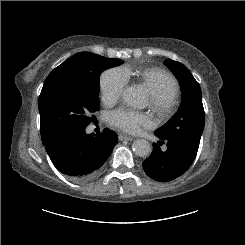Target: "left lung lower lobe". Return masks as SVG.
<instances>
[{
	"instance_id": "obj_1",
	"label": "left lung lower lobe",
	"mask_w": 245,
	"mask_h": 245,
	"mask_svg": "<svg viewBox=\"0 0 245 245\" xmlns=\"http://www.w3.org/2000/svg\"><path fill=\"white\" fill-rule=\"evenodd\" d=\"M159 143L153 144L151 155L143 161L145 173L159 182H167L183 175L193 163L198 147L181 140L164 138L155 134ZM167 145V150L162 151L160 146Z\"/></svg>"
}]
</instances>
